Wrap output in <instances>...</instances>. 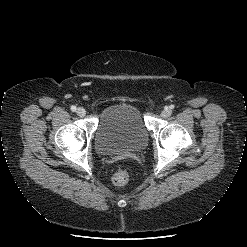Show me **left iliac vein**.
<instances>
[{
	"instance_id": "left-iliac-vein-1",
	"label": "left iliac vein",
	"mask_w": 247,
	"mask_h": 247,
	"mask_svg": "<svg viewBox=\"0 0 247 247\" xmlns=\"http://www.w3.org/2000/svg\"><path fill=\"white\" fill-rule=\"evenodd\" d=\"M172 114V110L169 108H165L162 112H161V116L163 117H168Z\"/></svg>"
}]
</instances>
